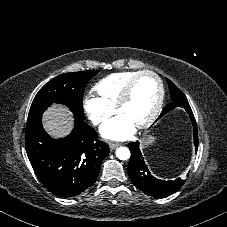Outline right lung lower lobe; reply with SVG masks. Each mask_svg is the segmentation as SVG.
I'll list each match as a JSON object with an SVG mask.
<instances>
[{"mask_svg":"<svg viewBox=\"0 0 227 227\" xmlns=\"http://www.w3.org/2000/svg\"><path fill=\"white\" fill-rule=\"evenodd\" d=\"M25 145L41 183L60 197L78 195L92 186L110 152L108 145L98 140L96 131L76 116L71 134L58 140L45 132L42 116L27 122Z\"/></svg>","mask_w":227,"mask_h":227,"instance_id":"right-lung-lower-lobe-1","label":"right lung lower lobe"}]
</instances>
